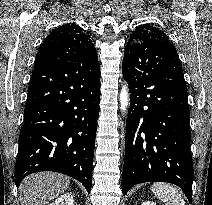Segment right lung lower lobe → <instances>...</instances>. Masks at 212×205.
I'll use <instances>...</instances> for the list:
<instances>
[{"mask_svg": "<svg viewBox=\"0 0 212 205\" xmlns=\"http://www.w3.org/2000/svg\"><path fill=\"white\" fill-rule=\"evenodd\" d=\"M99 102L98 60L34 68L19 136L17 187L31 173L55 171L90 193Z\"/></svg>", "mask_w": 212, "mask_h": 205, "instance_id": "1", "label": "right lung lower lobe"}]
</instances>
